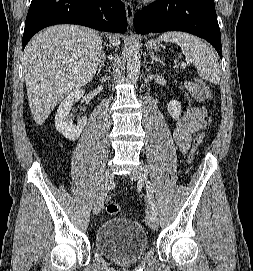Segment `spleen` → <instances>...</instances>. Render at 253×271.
<instances>
[{"instance_id": "1", "label": "spleen", "mask_w": 253, "mask_h": 271, "mask_svg": "<svg viewBox=\"0 0 253 271\" xmlns=\"http://www.w3.org/2000/svg\"><path fill=\"white\" fill-rule=\"evenodd\" d=\"M159 41L176 43L182 53L190 59L197 69L198 75L213 84L220 81V67L214 51L194 35L170 31L163 33Z\"/></svg>"}]
</instances>
